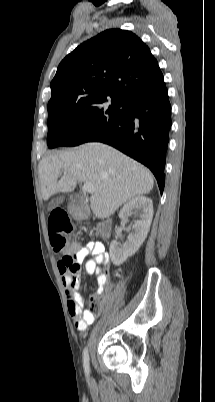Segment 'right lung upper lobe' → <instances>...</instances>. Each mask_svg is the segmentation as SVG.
<instances>
[{
    "mask_svg": "<svg viewBox=\"0 0 215 402\" xmlns=\"http://www.w3.org/2000/svg\"><path fill=\"white\" fill-rule=\"evenodd\" d=\"M165 86L150 49L135 34L109 29L79 45L59 64L51 100L117 95L124 99Z\"/></svg>",
    "mask_w": 215,
    "mask_h": 402,
    "instance_id": "1",
    "label": "right lung upper lobe"
}]
</instances>
